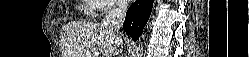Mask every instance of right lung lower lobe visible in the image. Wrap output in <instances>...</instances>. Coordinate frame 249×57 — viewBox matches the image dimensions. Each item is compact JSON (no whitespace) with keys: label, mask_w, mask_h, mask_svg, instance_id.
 <instances>
[{"label":"right lung lower lobe","mask_w":249,"mask_h":57,"mask_svg":"<svg viewBox=\"0 0 249 57\" xmlns=\"http://www.w3.org/2000/svg\"><path fill=\"white\" fill-rule=\"evenodd\" d=\"M152 6L153 0H138L127 11L123 29L135 41L142 34L143 28L151 14Z\"/></svg>","instance_id":"obj_1"}]
</instances>
